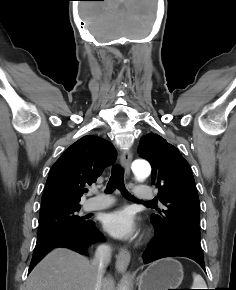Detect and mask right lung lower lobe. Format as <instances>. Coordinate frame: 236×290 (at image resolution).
Segmentation results:
<instances>
[{
  "instance_id": "1",
  "label": "right lung lower lobe",
  "mask_w": 236,
  "mask_h": 290,
  "mask_svg": "<svg viewBox=\"0 0 236 290\" xmlns=\"http://www.w3.org/2000/svg\"><path fill=\"white\" fill-rule=\"evenodd\" d=\"M103 239L104 236L94 226L93 221L82 227L61 229L38 236L29 272L53 248L67 247L76 252L84 253L89 245Z\"/></svg>"
}]
</instances>
